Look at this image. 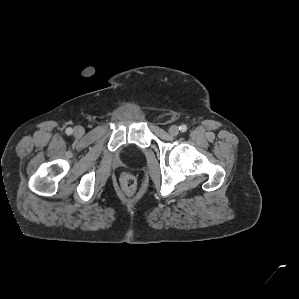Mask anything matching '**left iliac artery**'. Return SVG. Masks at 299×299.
I'll list each match as a JSON object with an SVG mask.
<instances>
[{"instance_id":"1","label":"left iliac artery","mask_w":299,"mask_h":299,"mask_svg":"<svg viewBox=\"0 0 299 299\" xmlns=\"http://www.w3.org/2000/svg\"><path fill=\"white\" fill-rule=\"evenodd\" d=\"M179 130L181 131V132H186L187 131V126L186 125H181L180 127H179Z\"/></svg>"}]
</instances>
